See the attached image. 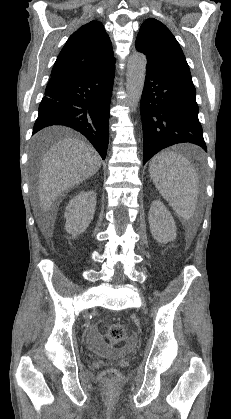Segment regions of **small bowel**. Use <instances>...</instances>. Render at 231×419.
Returning <instances> with one entry per match:
<instances>
[{
    "label": "small bowel",
    "mask_w": 231,
    "mask_h": 419,
    "mask_svg": "<svg viewBox=\"0 0 231 419\" xmlns=\"http://www.w3.org/2000/svg\"><path fill=\"white\" fill-rule=\"evenodd\" d=\"M89 341L94 350H100V336L96 327L91 328L89 332Z\"/></svg>",
    "instance_id": "c3829d8e"
}]
</instances>
